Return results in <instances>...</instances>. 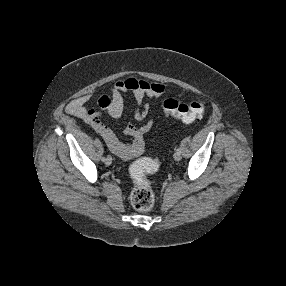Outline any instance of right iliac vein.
<instances>
[{"instance_id":"1","label":"right iliac vein","mask_w":286,"mask_h":286,"mask_svg":"<svg viewBox=\"0 0 286 286\" xmlns=\"http://www.w3.org/2000/svg\"><path fill=\"white\" fill-rule=\"evenodd\" d=\"M111 163H112V158H111L110 156H108V157L106 158V160H105V164H106V165H111Z\"/></svg>"}]
</instances>
